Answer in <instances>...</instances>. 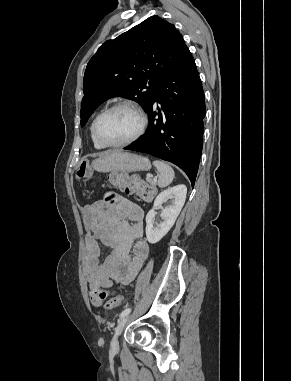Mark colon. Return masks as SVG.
<instances>
[{
	"instance_id": "colon-1",
	"label": "colon",
	"mask_w": 291,
	"mask_h": 381,
	"mask_svg": "<svg viewBox=\"0 0 291 381\" xmlns=\"http://www.w3.org/2000/svg\"><path fill=\"white\" fill-rule=\"evenodd\" d=\"M86 173V166L81 165L76 173L75 176L77 179H81L85 176ZM110 181L112 184L120 188L121 190L136 195L138 198L149 201L154 197L155 190L154 188L149 185L148 183L125 175V174H114L111 176ZM94 294L101 300L106 301V308L108 310L114 309L118 307L122 302V297L118 293L114 291H107L103 289H97L94 291Z\"/></svg>"
}]
</instances>
